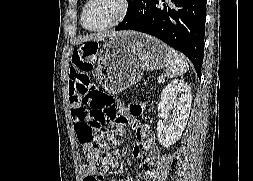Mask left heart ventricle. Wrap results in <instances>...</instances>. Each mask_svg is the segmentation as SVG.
Instances as JSON below:
<instances>
[{"instance_id": "left-heart-ventricle-1", "label": "left heart ventricle", "mask_w": 253, "mask_h": 181, "mask_svg": "<svg viewBox=\"0 0 253 181\" xmlns=\"http://www.w3.org/2000/svg\"><path fill=\"white\" fill-rule=\"evenodd\" d=\"M120 8V0H93L86 10L85 24L90 28H100L112 21Z\"/></svg>"}]
</instances>
